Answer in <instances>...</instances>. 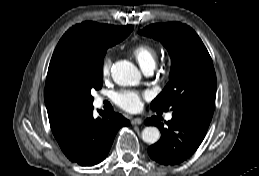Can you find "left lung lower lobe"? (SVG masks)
Returning a JSON list of instances; mask_svg holds the SVG:
<instances>
[{
    "mask_svg": "<svg viewBox=\"0 0 259 176\" xmlns=\"http://www.w3.org/2000/svg\"><path fill=\"white\" fill-rule=\"evenodd\" d=\"M211 121L189 113H173L165 128L153 116L145 121L161 132L160 140L148 148L149 156L163 165H176L188 159L200 146Z\"/></svg>",
    "mask_w": 259,
    "mask_h": 176,
    "instance_id": "1",
    "label": "left lung lower lobe"
}]
</instances>
